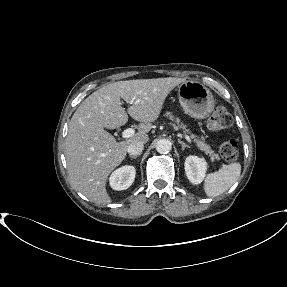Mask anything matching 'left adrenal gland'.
Here are the masks:
<instances>
[{"label": "left adrenal gland", "instance_id": "1", "mask_svg": "<svg viewBox=\"0 0 287 287\" xmlns=\"http://www.w3.org/2000/svg\"><path fill=\"white\" fill-rule=\"evenodd\" d=\"M178 142L182 145V150L184 151L185 148H190L189 145L185 144L183 141H181L180 139H178Z\"/></svg>", "mask_w": 287, "mask_h": 287}]
</instances>
